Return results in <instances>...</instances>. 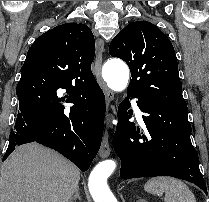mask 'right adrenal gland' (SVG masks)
Returning a JSON list of instances; mask_svg holds the SVG:
<instances>
[{"label":"right adrenal gland","instance_id":"right-adrenal-gland-1","mask_svg":"<svg viewBox=\"0 0 209 202\" xmlns=\"http://www.w3.org/2000/svg\"><path fill=\"white\" fill-rule=\"evenodd\" d=\"M76 199L81 200V196L79 193V186L77 187L75 194L70 198L69 202H74Z\"/></svg>","mask_w":209,"mask_h":202}]
</instances>
